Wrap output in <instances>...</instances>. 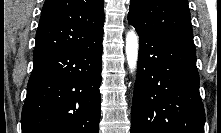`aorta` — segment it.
Listing matches in <instances>:
<instances>
[{"instance_id":"aorta-1","label":"aorta","mask_w":221,"mask_h":133,"mask_svg":"<svg viewBox=\"0 0 221 133\" xmlns=\"http://www.w3.org/2000/svg\"><path fill=\"white\" fill-rule=\"evenodd\" d=\"M139 40L136 32L131 30L126 35V57L131 72L137 68Z\"/></svg>"}]
</instances>
